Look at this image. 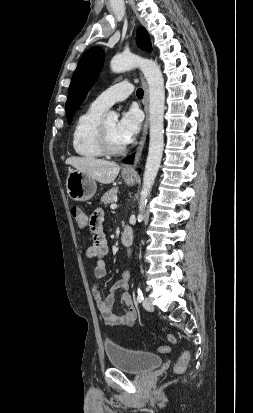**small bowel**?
Returning a JSON list of instances; mask_svg holds the SVG:
<instances>
[{"label":"small bowel","mask_w":253,"mask_h":413,"mask_svg":"<svg viewBox=\"0 0 253 413\" xmlns=\"http://www.w3.org/2000/svg\"><path fill=\"white\" fill-rule=\"evenodd\" d=\"M104 214L101 209H97L89 218V227L93 236V243L86 249V256L94 261L93 275L100 281L106 275L105 256L108 253V242L103 232L102 224ZM129 272L124 271L121 278L114 284L112 293L103 298L99 290V284H95L92 289V295L96 302L97 308L108 326H132L137 318V311L133 304L132 296L129 292ZM122 291L121 302L125 311L121 315L114 314L112 307L115 301V293Z\"/></svg>","instance_id":"small-bowel-1"}]
</instances>
